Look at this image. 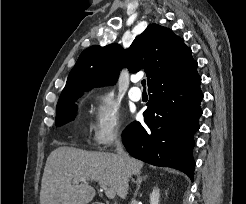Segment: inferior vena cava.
Segmentation results:
<instances>
[{
  "mask_svg": "<svg viewBox=\"0 0 246 204\" xmlns=\"http://www.w3.org/2000/svg\"><path fill=\"white\" fill-rule=\"evenodd\" d=\"M115 146H116V151H117V155H118L119 160L122 163H125V161L127 160L128 155L123 149L122 141H121L120 138L115 140Z\"/></svg>",
  "mask_w": 246,
  "mask_h": 204,
  "instance_id": "602c4592",
  "label": "inferior vena cava"
}]
</instances>
